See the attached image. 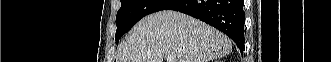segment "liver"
Segmentation results:
<instances>
[{
	"mask_svg": "<svg viewBox=\"0 0 331 62\" xmlns=\"http://www.w3.org/2000/svg\"><path fill=\"white\" fill-rule=\"evenodd\" d=\"M232 42L186 14L160 11L140 20L121 44L116 62H210L231 52ZM167 62V61H166Z\"/></svg>",
	"mask_w": 331,
	"mask_h": 62,
	"instance_id": "1",
	"label": "liver"
}]
</instances>
